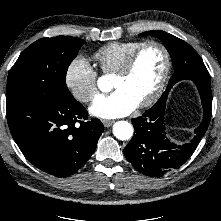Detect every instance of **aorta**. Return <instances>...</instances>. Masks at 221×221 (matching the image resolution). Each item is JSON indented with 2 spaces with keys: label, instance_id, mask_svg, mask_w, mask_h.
<instances>
[{
  "label": "aorta",
  "instance_id": "1",
  "mask_svg": "<svg viewBox=\"0 0 221 221\" xmlns=\"http://www.w3.org/2000/svg\"><path fill=\"white\" fill-rule=\"evenodd\" d=\"M98 86L102 91H107L110 83L107 78L101 77ZM133 126L127 121H118L113 125V134L119 140H128L133 136Z\"/></svg>",
  "mask_w": 221,
  "mask_h": 221
}]
</instances>
